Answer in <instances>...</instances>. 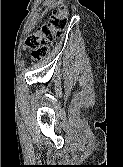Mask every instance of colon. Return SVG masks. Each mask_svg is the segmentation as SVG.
<instances>
[{"mask_svg":"<svg viewBox=\"0 0 123 167\" xmlns=\"http://www.w3.org/2000/svg\"><path fill=\"white\" fill-rule=\"evenodd\" d=\"M68 8L62 4L49 17L46 24L26 38V47L32 50L31 56L35 61L43 60L49 52V46L54 44L58 35L67 26Z\"/></svg>","mask_w":123,"mask_h":167,"instance_id":"5ec220e1","label":"colon"}]
</instances>
